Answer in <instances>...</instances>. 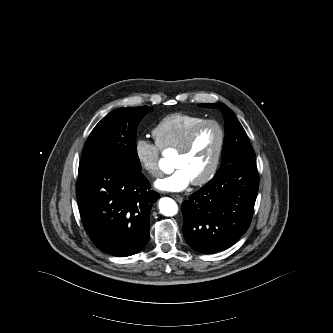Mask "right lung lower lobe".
I'll use <instances>...</instances> for the list:
<instances>
[{"label":"right lung lower lobe","instance_id":"right-lung-lower-lobe-1","mask_svg":"<svg viewBox=\"0 0 333 333\" xmlns=\"http://www.w3.org/2000/svg\"><path fill=\"white\" fill-rule=\"evenodd\" d=\"M77 197L85 229L99 249L125 257L145 246L150 210L160 195L141 171L113 161L81 162Z\"/></svg>","mask_w":333,"mask_h":333}]
</instances>
